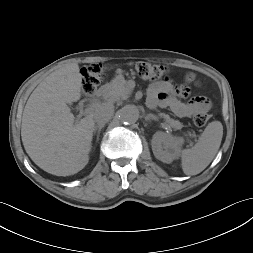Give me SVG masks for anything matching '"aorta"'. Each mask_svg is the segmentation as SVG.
Here are the masks:
<instances>
[{"instance_id": "1", "label": "aorta", "mask_w": 253, "mask_h": 253, "mask_svg": "<svg viewBox=\"0 0 253 253\" xmlns=\"http://www.w3.org/2000/svg\"><path fill=\"white\" fill-rule=\"evenodd\" d=\"M139 110L134 105H125L119 111V119L123 123L133 124L139 118Z\"/></svg>"}]
</instances>
